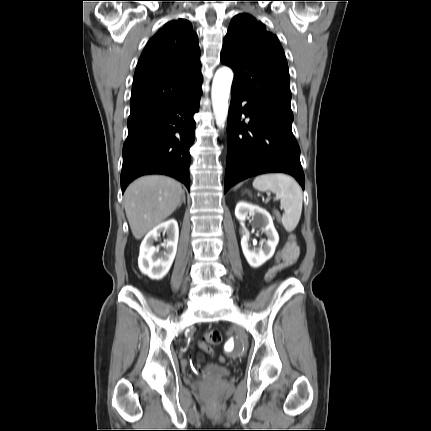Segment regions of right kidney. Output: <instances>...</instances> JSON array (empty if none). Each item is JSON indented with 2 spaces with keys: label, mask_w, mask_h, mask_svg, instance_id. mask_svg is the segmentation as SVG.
<instances>
[{
  "label": "right kidney",
  "mask_w": 431,
  "mask_h": 431,
  "mask_svg": "<svg viewBox=\"0 0 431 431\" xmlns=\"http://www.w3.org/2000/svg\"><path fill=\"white\" fill-rule=\"evenodd\" d=\"M161 233L167 236L165 243L162 245L163 252L159 251V247L153 246ZM178 239L179 228L177 221L174 219L163 222L151 230L140 246L138 257L140 271L151 279H162L169 272L175 259Z\"/></svg>",
  "instance_id": "ca27d5eb"
}]
</instances>
